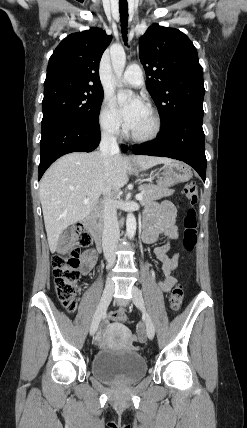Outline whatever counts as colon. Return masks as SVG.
I'll list each match as a JSON object with an SVG mask.
<instances>
[{"label":"colon","instance_id":"1","mask_svg":"<svg viewBox=\"0 0 247 428\" xmlns=\"http://www.w3.org/2000/svg\"><path fill=\"white\" fill-rule=\"evenodd\" d=\"M189 201L190 209L184 218L183 248L191 252L197 243V215L194 206L198 203V191L194 183H189L184 189ZM91 237L87 230L80 224L74 225L68 234L67 242L52 256V270L56 293L62 306L69 312H73L77 304L79 291L78 280L80 277L79 250L90 244ZM184 297V288L181 284L173 287L170 293V307L176 312L180 309ZM130 311H113L109 317L114 322L122 325L127 320Z\"/></svg>","mask_w":247,"mask_h":428}]
</instances>
